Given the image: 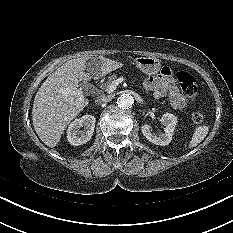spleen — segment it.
Returning a JSON list of instances; mask_svg holds the SVG:
<instances>
[{"instance_id": "1", "label": "spleen", "mask_w": 233, "mask_h": 233, "mask_svg": "<svg viewBox=\"0 0 233 233\" xmlns=\"http://www.w3.org/2000/svg\"><path fill=\"white\" fill-rule=\"evenodd\" d=\"M209 132V127L207 125L197 126L194 130L193 136L189 143V148L196 147L201 143Z\"/></svg>"}]
</instances>
